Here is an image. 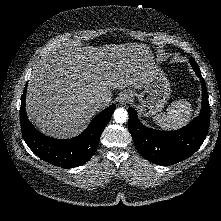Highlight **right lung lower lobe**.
Here are the masks:
<instances>
[{
	"mask_svg": "<svg viewBox=\"0 0 221 221\" xmlns=\"http://www.w3.org/2000/svg\"><path fill=\"white\" fill-rule=\"evenodd\" d=\"M25 95L26 88L21 98L20 122L23 138L32 152L40 159L64 168L76 167L89 161L98 147L101 133L108 124L115 105L94 117L79 136L61 140L43 135L29 122L25 110Z\"/></svg>",
	"mask_w": 221,
	"mask_h": 221,
	"instance_id": "98d812e1",
	"label": "right lung lower lobe"
}]
</instances>
